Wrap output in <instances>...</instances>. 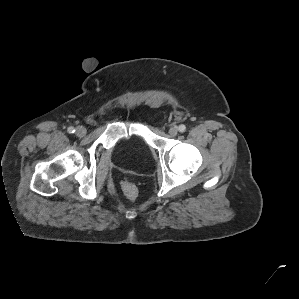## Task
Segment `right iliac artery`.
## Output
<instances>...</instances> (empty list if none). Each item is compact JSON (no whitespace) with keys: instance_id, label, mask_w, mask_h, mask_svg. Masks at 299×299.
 I'll use <instances>...</instances> for the list:
<instances>
[{"instance_id":"obj_1","label":"right iliac artery","mask_w":299,"mask_h":299,"mask_svg":"<svg viewBox=\"0 0 299 299\" xmlns=\"http://www.w3.org/2000/svg\"><path fill=\"white\" fill-rule=\"evenodd\" d=\"M68 132L71 133V134L74 133V132H75L74 127H72V126L69 127V128H68Z\"/></svg>"}]
</instances>
